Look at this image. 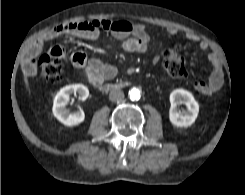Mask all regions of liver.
Here are the masks:
<instances>
[{"label":"liver","mask_w":245,"mask_h":195,"mask_svg":"<svg viewBox=\"0 0 245 195\" xmlns=\"http://www.w3.org/2000/svg\"><path fill=\"white\" fill-rule=\"evenodd\" d=\"M24 81H25V85H26V87H27V89L29 91V83H28V79H27V74L26 73H24Z\"/></svg>","instance_id":"1"}]
</instances>
